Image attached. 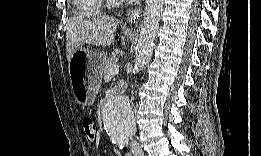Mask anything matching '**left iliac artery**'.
Listing matches in <instances>:
<instances>
[{"mask_svg":"<svg viewBox=\"0 0 261 156\" xmlns=\"http://www.w3.org/2000/svg\"><path fill=\"white\" fill-rule=\"evenodd\" d=\"M128 144V138L121 139L118 141V145L120 149H123Z\"/></svg>","mask_w":261,"mask_h":156,"instance_id":"obj_1","label":"left iliac artery"}]
</instances>
